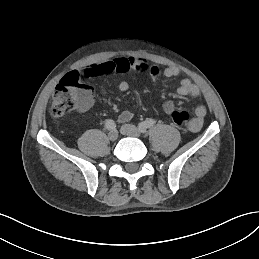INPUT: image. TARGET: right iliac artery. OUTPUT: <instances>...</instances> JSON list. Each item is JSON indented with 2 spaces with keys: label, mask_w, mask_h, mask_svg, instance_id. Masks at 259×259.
Segmentation results:
<instances>
[{
  "label": "right iliac artery",
  "mask_w": 259,
  "mask_h": 259,
  "mask_svg": "<svg viewBox=\"0 0 259 259\" xmlns=\"http://www.w3.org/2000/svg\"><path fill=\"white\" fill-rule=\"evenodd\" d=\"M105 127H106L108 130H115L116 125H115V122H114L113 120L109 119V120L106 121Z\"/></svg>",
  "instance_id": "right-iliac-artery-1"
}]
</instances>
